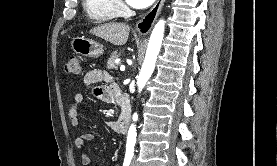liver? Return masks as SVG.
I'll return each instance as SVG.
<instances>
[{"label":"liver","mask_w":277,"mask_h":166,"mask_svg":"<svg viewBox=\"0 0 277 166\" xmlns=\"http://www.w3.org/2000/svg\"><path fill=\"white\" fill-rule=\"evenodd\" d=\"M129 32L130 27L124 23H105L90 30V34L117 46L127 42Z\"/></svg>","instance_id":"obj_1"}]
</instances>
